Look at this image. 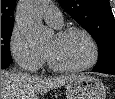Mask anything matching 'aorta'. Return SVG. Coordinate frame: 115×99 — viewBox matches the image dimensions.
Here are the masks:
<instances>
[{
	"label": "aorta",
	"instance_id": "obj_1",
	"mask_svg": "<svg viewBox=\"0 0 115 99\" xmlns=\"http://www.w3.org/2000/svg\"><path fill=\"white\" fill-rule=\"evenodd\" d=\"M46 4V0H27L18 6L17 23L31 47L43 46L48 40L49 32L41 20Z\"/></svg>",
	"mask_w": 115,
	"mask_h": 99
}]
</instances>
